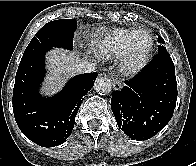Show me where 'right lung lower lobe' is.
Masks as SVG:
<instances>
[{
    "mask_svg": "<svg viewBox=\"0 0 196 166\" xmlns=\"http://www.w3.org/2000/svg\"><path fill=\"white\" fill-rule=\"evenodd\" d=\"M51 48L23 55L13 89V112L22 133L42 147L62 144L71 135L83 96L92 88L97 73L71 79L61 92L42 98L38 88L45 74L44 58Z\"/></svg>",
    "mask_w": 196,
    "mask_h": 166,
    "instance_id": "1",
    "label": "right lung lower lobe"
}]
</instances>
